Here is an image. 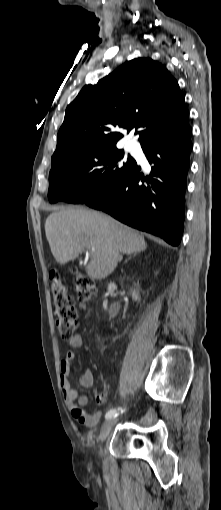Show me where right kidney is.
Returning a JSON list of instances; mask_svg holds the SVG:
<instances>
[{
	"label": "right kidney",
	"instance_id": "ca27d5eb",
	"mask_svg": "<svg viewBox=\"0 0 221 510\" xmlns=\"http://www.w3.org/2000/svg\"><path fill=\"white\" fill-rule=\"evenodd\" d=\"M132 298H133V300H135V301H137V300L139 299V296H138V293L136 292V290H134V291L132 292Z\"/></svg>",
	"mask_w": 221,
	"mask_h": 510
}]
</instances>
